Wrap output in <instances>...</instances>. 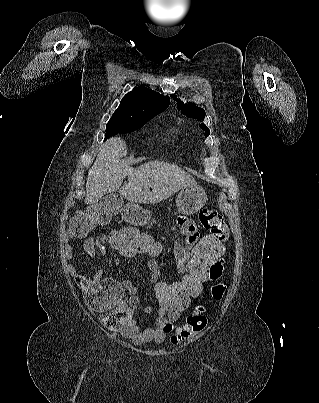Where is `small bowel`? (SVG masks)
Instances as JSON below:
<instances>
[{"instance_id": "obj_1", "label": "small bowel", "mask_w": 319, "mask_h": 403, "mask_svg": "<svg viewBox=\"0 0 319 403\" xmlns=\"http://www.w3.org/2000/svg\"><path fill=\"white\" fill-rule=\"evenodd\" d=\"M177 222L182 232L187 236V239H183L181 244L177 243L173 249L177 270L182 275L185 260L189 258V252L186 248H190L193 245L191 240L193 243L198 242L199 233L192 220L179 217ZM88 246L90 249H101L106 247V243H102L100 235H91ZM66 250L68 257L72 258L70 244H67ZM218 264H221V261H218V263L213 262L210 265V280L212 283H221L223 281V268ZM67 268L84 291L85 288L82 282L88 284L85 297L89 309H102V324H104L105 329H108L109 335H122L137 344L150 341L162 342L167 334L173 330V323L180 317L181 313H156V309L146 307L145 313L154 314L155 316V326H138L134 320V309L139 305V299L137 287L132 280L123 279L121 285H119L118 279H102L104 275L102 269H97L91 279H86L77 272L73 265L68 264ZM149 269L152 273V282H159L161 268ZM125 293L128 295H125ZM154 294L156 295L157 291H154Z\"/></svg>"}]
</instances>
